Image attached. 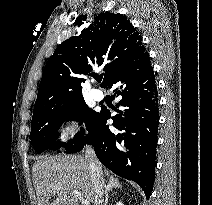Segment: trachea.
Instances as JSON below:
<instances>
[{"label":"trachea","mask_w":212,"mask_h":205,"mask_svg":"<svg viewBox=\"0 0 212 205\" xmlns=\"http://www.w3.org/2000/svg\"><path fill=\"white\" fill-rule=\"evenodd\" d=\"M96 81H97V82H101V81H102V77H97V78H96Z\"/></svg>","instance_id":"trachea-1"}]
</instances>
